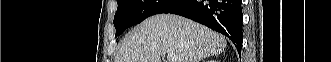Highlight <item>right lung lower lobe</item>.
Listing matches in <instances>:
<instances>
[{
	"instance_id": "right-lung-lower-lobe-1",
	"label": "right lung lower lobe",
	"mask_w": 331,
	"mask_h": 62,
	"mask_svg": "<svg viewBox=\"0 0 331 62\" xmlns=\"http://www.w3.org/2000/svg\"><path fill=\"white\" fill-rule=\"evenodd\" d=\"M242 0H179L162 13H173L199 22L226 35L241 52Z\"/></svg>"
}]
</instances>
